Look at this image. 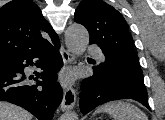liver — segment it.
Listing matches in <instances>:
<instances>
[{"instance_id":"liver-1","label":"liver","mask_w":165,"mask_h":120,"mask_svg":"<svg viewBox=\"0 0 165 120\" xmlns=\"http://www.w3.org/2000/svg\"><path fill=\"white\" fill-rule=\"evenodd\" d=\"M0 120H32V115L17 105L1 101Z\"/></svg>"}]
</instances>
